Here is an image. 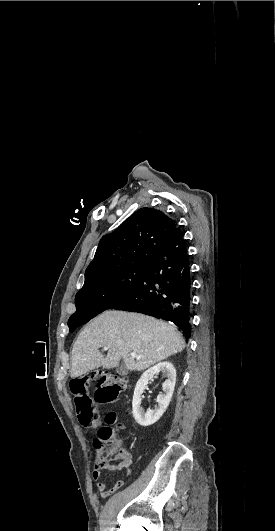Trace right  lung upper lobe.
I'll list each match as a JSON object with an SVG mask.
<instances>
[{
  "instance_id": "obj_1",
  "label": "right lung upper lobe",
  "mask_w": 275,
  "mask_h": 531,
  "mask_svg": "<svg viewBox=\"0 0 275 531\" xmlns=\"http://www.w3.org/2000/svg\"><path fill=\"white\" fill-rule=\"evenodd\" d=\"M177 228L175 221L162 211H135L115 231L101 238L85 271V283L118 269L147 265Z\"/></svg>"
}]
</instances>
